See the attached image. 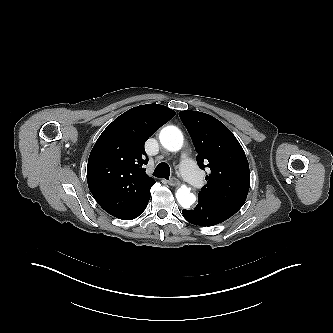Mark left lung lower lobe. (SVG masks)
<instances>
[{"label":"left lung lower lobe","mask_w":333,"mask_h":333,"mask_svg":"<svg viewBox=\"0 0 333 333\" xmlns=\"http://www.w3.org/2000/svg\"><path fill=\"white\" fill-rule=\"evenodd\" d=\"M182 213L188 222L198 226H213L233 216L225 209L200 197H198V204L193 210L184 209Z\"/></svg>","instance_id":"left-lung-lower-lobe-1"}]
</instances>
